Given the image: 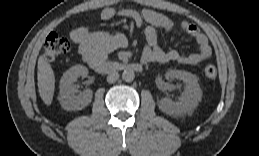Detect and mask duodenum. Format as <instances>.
Segmentation results:
<instances>
[{
  "mask_svg": "<svg viewBox=\"0 0 259 156\" xmlns=\"http://www.w3.org/2000/svg\"><path fill=\"white\" fill-rule=\"evenodd\" d=\"M90 66L98 73L109 74L118 71H135L141 72L143 67L140 63H126L122 61L106 62L96 60L89 63Z\"/></svg>",
  "mask_w": 259,
  "mask_h": 156,
  "instance_id": "duodenum-1",
  "label": "duodenum"
}]
</instances>
